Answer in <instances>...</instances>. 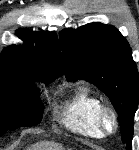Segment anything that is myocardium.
<instances>
[{"label":"myocardium","instance_id":"myocardium-1","mask_svg":"<svg viewBox=\"0 0 139 150\" xmlns=\"http://www.w3.org/2000/svg\"><path fill=\"white\" fill-rule=\"evenodd\" d=\"M111 121V126L108 122ZM98 126L103 135H113L119 129L117 113L112 107L103 105L98 113Z\"/></svg>","mask_w":139,"mask_h":150}]
</instances>
